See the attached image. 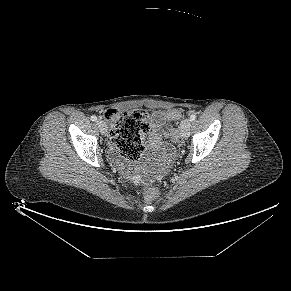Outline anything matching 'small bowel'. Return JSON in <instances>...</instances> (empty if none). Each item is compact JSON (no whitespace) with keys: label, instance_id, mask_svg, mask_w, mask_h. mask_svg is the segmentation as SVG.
<instances>
[{"label":"small bowel","instance_id":"obj_1","mask_svg":"<svg viewBox=\"0 0 291 291\" xmlns=\"http://www.w3.org/2000/svg\"><path fill=\"white\" fill-rule=\"evenodd\" d=\"M150 129L141 135V139L147 144L150 158L153 162L161 165L165 164L171 155V147L166 142L167 139L174 137V129L169 127L165 113L155 111L151 114Z\"/></svg>","mask_w":291,"mask_h":291}]
</instances>
